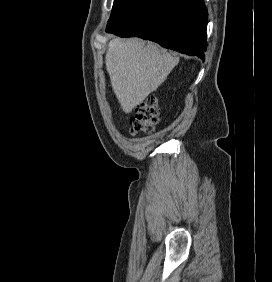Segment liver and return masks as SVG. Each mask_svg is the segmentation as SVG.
<instances>
[{
    "label": "liver",
    "mask_w": 272,
    "mask_h": 282,
    "mask_svg": "<svg viewBox=\"0 0 272 282\" xmlns=\"http://www.w3.org/2000/svg\"><path fill=\"white\" fill-rule=\"evenodd\" d=\"M179 58L154 43L112 39L105 57L113 91L125 113L141 104L178 64Z\"/></svg>",
    "instance_id": "1"
}]
</instances>
